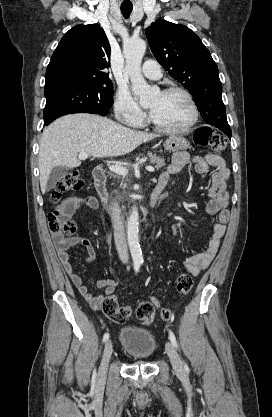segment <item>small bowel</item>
<instances>
[{"mask_svg": "<svg viewBox=\"0 0 272 417\" xmlns=\"http://www.w3.org/2000/svg\"><path fill=\"white\" fill-rule=\"evenodd\" d=\"M186 165H192L198 174H206L210 168H216L211 172V186L209 189L210 200L206 205V213L215 216L216 221L212 226V236L204 252L189 256L184 261L185 271L192 276L199 275L205 270L215 258L221 241L226 232V224L229 221L230 213L227 209L229 195L226 191V181L229 171L222 157L216 154H206L204 156L191 157L186 152L175 153L166 170L161 174L159 181L168 182L171 175L178 174ZM82 207L96 210L99 207L98 201L94 196L78 194L65 199L58 207L61 221H68L73 214ZM55 244L58 246V257L69 275L72 283L86 302L94 310L102 307L104 299L112 295L119 282L115 279H100L96 282L99 289H103V294L93 295L88 286L84 283L81 275L75 270L71 257L67 249L74 245H81L87 251V262H92L95 258V251L91 243L81 237H74L66 240L61 236H54Z\"/></svg>", "mask_w": 272, "mask_h": 417, "instance_id": "small-bowel-1", "label": "small bowel"}]
</instances>
